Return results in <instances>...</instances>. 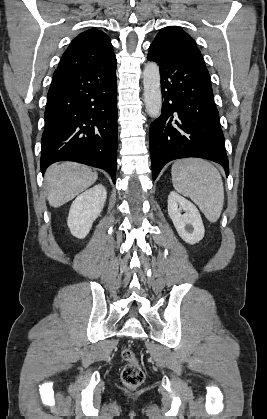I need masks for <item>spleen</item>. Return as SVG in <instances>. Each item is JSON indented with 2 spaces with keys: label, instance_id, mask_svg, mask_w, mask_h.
<instances>
[{
  "label": "spleen",
  "instance_id": "spleen-1",
  "mask_svg": "<svg viewBox=\"0 0 267 419\" xmlns=\"http://www.w3.org/2000/svg\"><path fill=\"white\" fill-rule=\"evenodd\" d=\"M175 190L189 197L210 222H216L224 204V186L218 169L199 158L176 161L171 169Z\"/></svg>",
  "mask_w": 267,
  "mask_h": 419
}]
</instances>
